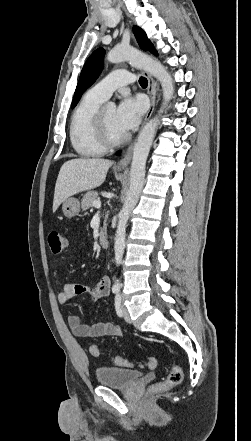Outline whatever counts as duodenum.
Returning a JSON list of instances; mask_svg holds the SVG:
<instances>
[{
	"mask_svg": "<svg viewBox=\"0 0 251 441\" xmlns=\"http://www.w3.org/2000/svg\"><path fill=\"white\" fill-rule=\"evenodd\" d=\"M99 244L103 249H107L109 247V240L107 237L102 236L99 240Z\"/></svg>",
	"mask_w": 251,
	"mask_h": 441,
	"instance_id": "410a0bca",
	"label": "duodenum"
}]
</instances>
